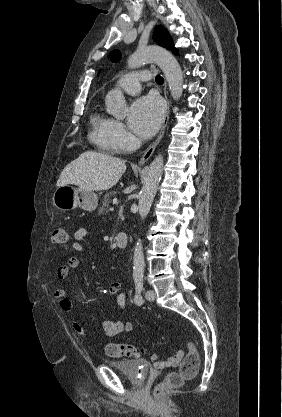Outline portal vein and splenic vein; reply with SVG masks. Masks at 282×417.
<instances>
[{
    "label": "portal vein and splenic vein",
    "instance_id": "18ae733b",
    "mask_svg": "<svg viewBox=\"0 0 282 417\" xmlns=\"http://www.w3.org/2000/svg\"><path fill=\"white\" fill-rule=\"evenodd\" d=\"M117 198H113V204H116Z\"/></svg>",
    "mask_w": 282,
    "mask_h": 417
}]
</instances>
